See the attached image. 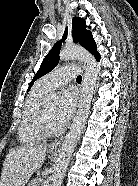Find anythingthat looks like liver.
I'll return each mask as SVG.
<instances>
[{"label":"liver","instance_id":"obj_1","mask_svg":"<svg viewBox=\"0 0 138 186\" xmlns=\"http://www.w3.org/2000/svg\"><path fill=\"white\" fill-rule=\"evenodd\" d=\"M46 144H29L11 148L5 158L0 186H25L44 163Z\"/></svg>","mask_w":138,"mask_h":186}]
</instances>
